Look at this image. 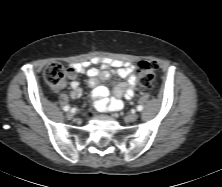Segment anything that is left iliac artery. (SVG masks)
<instances>
[{"label":"left iliac artery","mask_w":222,"mask_h":187,"mask_svg":"<svg viewBox=\"0 0 222 187\" xmlns=\"http://www.w3.org/2000/svg\"><path fill=\"white\" fill-rule=\"evenodd\" d=\"M137 110L138 111H142L143 110V106H141V105L137 106Z\"/></svg>","instance_id":"44dca946"}]
</instances>
